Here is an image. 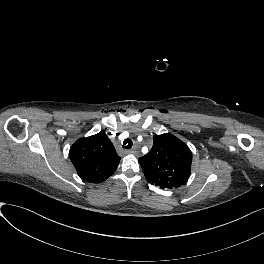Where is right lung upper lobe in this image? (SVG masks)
<instances>
[{"label": "right lung upper lobe", "instance_id": "right-lung-upper-lobe-1", "mask_svg": "<svg viewBox=\"0 0 264 264\" xmlns=\"http://www.w3.org/2000/svg\"><path fill=\"white\" fill-rule=\"evenodd\" d=\"M69 157L83 180L91 183L105 181L116 170L120 157L104 131L77 140Z\"/></svg>", "mask_w": 264, "mask_h": 264}]
</instances>
